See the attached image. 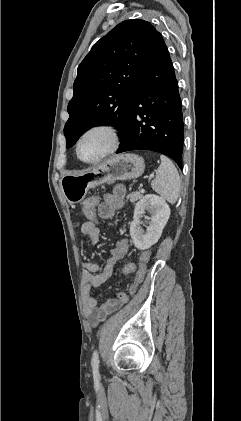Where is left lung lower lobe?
I'll return each mask as SVG.
<instances>
[{"label": "left lung lower lobe", "instance_id": "obj_1", "mask_svg": "<svg viewBox=\"0 0 241 421\" xmlns=\"http://www.w3.org/2000/svg\"><path fill=\"white\" fill-rule=\"evenodd\" d=\"M183 114L168 49L158 36L138 80L127 131L117 153L151 150L182 168Z\"/></svg>", "mask_w": 241, "mask_h": 421}]
</instances>
